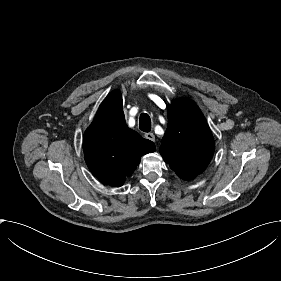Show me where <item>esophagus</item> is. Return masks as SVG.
<instances>
[{"label":"esophagus","instance_id":"1","mask_svg":"<svg viewBox=\"0 0 281 281\" xmlns=\"http://www.w3.org/2000/svg\"><path fill=\"white\" fill-rule=\"evenodd\" d=\"M144 137L151 141H155V135L153 133H145Z\"/></svg>","mask_w":281,"mask_h":281}]
</instances>
